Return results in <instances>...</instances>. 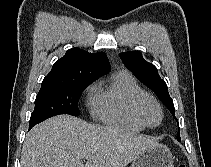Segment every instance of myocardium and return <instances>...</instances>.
<instances>
[{"label": "myocardium", "instance_id": "obj_1", "mask_svg": "<svg viewBox=\"0 0 211 167\" xmlns=\"http://www.w3.org/2000/svg\"><path fill=\"white\" fill-rule=\"evenodd\" d=\"M145 101H151L157 106V108L160 112V120L158 123L150 124L145 120L143 113H142V106ZM132 109H133L134 115L137 117V119L146 127H150V128L157 127L163 121V118H164L163 108H162L160 102L151 94L143 92V93L137 95L135 97V99L133 100Z\"/></svg>", "mask_w": 211, "mask_h": 167}]
</instances>
